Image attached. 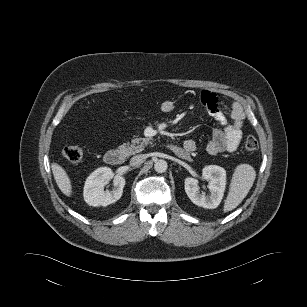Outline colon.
<instances>
[{"mask_svg": "<svg viewBox=\"0 0 307 307\" xmlns=\"http://www.w3.org/2000/svg\"><path fill=\"white\" fill-rule=\"evenodd\" d=\"M258 141L254 136H249L245 140V149L249 152H254L258 149ZM63 157L71 162L78 163L83 157V150L78 146H66L62 150Z\"/></svg>", "mask_w": 307, "mask_h": 307, "instance_id": "5ec220e1", "label": "colon"}]
</instances>
